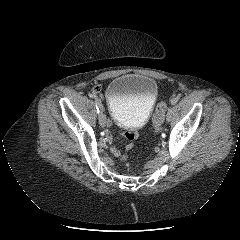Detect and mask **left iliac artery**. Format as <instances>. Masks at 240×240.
I'll use <instances>...</instances> for the list:
<instances>
[{"instance_id": "1", "label": "left iliac artery", "mask_w": 240, "mask_h": 240, "mask_svg": "<svg viewBox=\"0 0 240 240\" xmlns=\"http://www.w3.org/2000/svg\"><path fill=\"white\" fill-rule=\"evenodd\" d=\"M170 102L172 105H175L178 102V97H172Z\"/></svg>"}]
</instances>
